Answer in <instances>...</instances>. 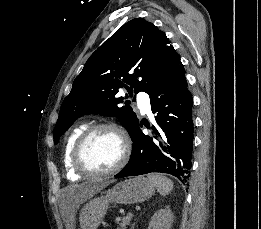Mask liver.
<instances>
[{
    "label": "liver",
    "mask_w": 261,
    "mask_h": 229,
    "mask_svg": "<svg viewBox=\"0 0 261 229\" xmlns=\"http://www.w3.org/2000/svg\"><path fill=\"white\" fill-rule=\"evenodd\" d=\"M113 181H95V183H82V185H75L74 187V201L75 203H85L100 191H103L105 187H108ZM73 221V219H71ZM74 227V225H73Z\"/></svg>",
    "instance_id": "liver-1"
}]
</instances>
